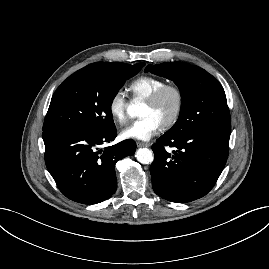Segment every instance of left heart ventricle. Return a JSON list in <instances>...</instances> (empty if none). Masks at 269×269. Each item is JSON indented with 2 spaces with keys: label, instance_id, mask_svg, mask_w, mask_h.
<instances>
[{
  "label": "left heart ventricle",
  "instance_id": "left-heart-ventricle-1",
  "mask_svg": "<svg viewBox=\"0 0 269 269\" xmlns=\"http://www.w3.org/2000/svg\"><path fill=\"white\" fill-rule=\"evenodd\" d=\"M176 106V97L172 92L166 93L156 105L144 103L140 116H154L161 124L167 121Z\"/></svg>",
  "mask_w": 269,
  "mask_h": 269
}]
</instances>
